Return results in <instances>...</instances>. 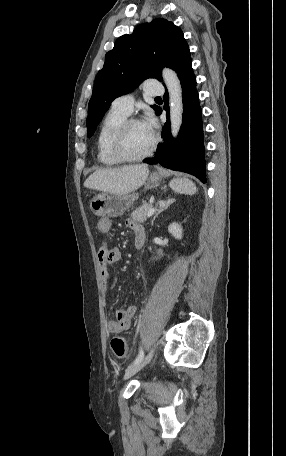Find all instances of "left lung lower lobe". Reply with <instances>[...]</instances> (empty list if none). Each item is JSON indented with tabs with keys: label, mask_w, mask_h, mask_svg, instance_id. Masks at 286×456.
Masks as SVG:
<instances>
[{
	"label": "left lung lower lobe",
	"mask_w": 286,
	"mask_h": 456,
	"mask_svg": "<svg viewBox=\"0 0 286 456\" xmlns=\"http://www.w3.org/2000/svg\"><path fill=\"white\" fill-rule=\"evenodd\" d=\"M182 85L183 96V123L176 140H173L170 132L169 113L167 122L162 131L164 143L157 148L154 158L145 160L148 164L160 163L162 166L182 171L196 176L206 183L204 144L202 129V110L199 105V96L196 90V77L192 69V60L186 62L177 72ZM168 102V93L164 95ZM164 109L169 112V107ZM162 109L157 110L161 114Z\"/></svg>",
	"instance_id": "0a47b994"
}]
</instances>
